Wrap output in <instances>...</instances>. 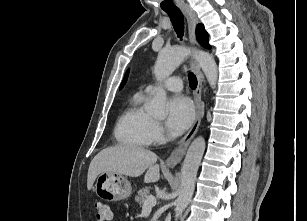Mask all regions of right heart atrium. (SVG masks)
<instances>
[{"label":"right heart atrium","mask_w":307,"mask_h":221,"mask_svg":"<svg viewBox=\"0 0 307 221\" xmlns=\"http://www.w3.org/2000/svg\"><path fill=\"white\" fill-rule=\"evenodd\" d=\"M153 137H154V140L156 141L161 140L163 138V129L158 122H154Z\"/></svg>","instance_id":"d8ad5b80"}]
</instances>
